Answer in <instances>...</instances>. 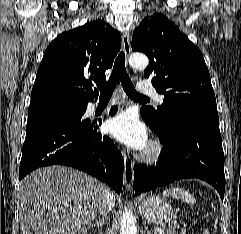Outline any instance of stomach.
<instances>
[{
	"mask_svg": "<svg viewBox=\"0 0 241 234\" xmlns=\"http://www.w3.org/2000/svg\"><path fill=\"white\" fill-rule=\"evenodd\" d=\"M139 212L147 221L156 225L168 223L173 210L169 202L159 196H150L144 198L139 204Z\"/></svg>",
	"mask_w": 241,
	"mask_h": 234,
	"instance_id": "1",
	"label": "stomach"
}]
</instances>
